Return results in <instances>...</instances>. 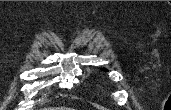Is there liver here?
<instances>
[{"mask_svg": "<svg viewBox=\"0 0 171 110\" xmlns=\"http://www.w3.org/2000/svg\"><path fill=\"white\" fill-rule=\"evenodd\" d=\"M44 110H72L70 108L67 107H56V108H45Z\"/></svg>", "mask_w": 171, "mask_h": 110, "instance_id": "6515ba94", "label": "liver"}]
</instances>
